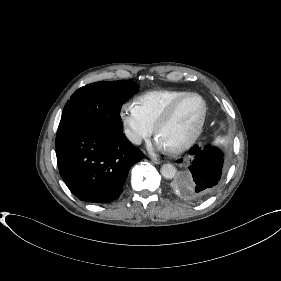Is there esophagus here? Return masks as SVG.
<instances>
[{
	"label": "esophagus",
	"mask_w": 281,
	"mask_h": 281,
	"mask_svg": "<svg viewBox=\"0 0 281 281\" xmlns=\"http://www.w3.org/2000/svg\"><path fill=\"white\" fill-rule=\"evenodd\" d=\"M151 158V161L154 163V164H160L162 162V160H160L159 158L157 157H150Z\"/></svg>",
	"instance_id": "obj_1"
}]
</instances>
